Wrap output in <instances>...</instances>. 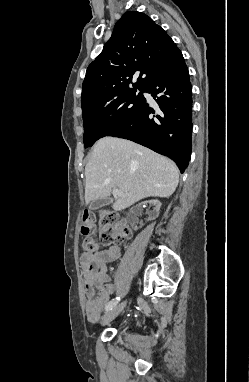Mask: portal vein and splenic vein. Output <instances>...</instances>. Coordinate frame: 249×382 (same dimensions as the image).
Segmentation results:
<instances>
[{
	"label": "portal vein and splenic vein",
	"instance_id": "obj_1",
	"mask_svg": "<svg viewBox=\"0 0 249 382\" xmlns=\"http://www.w3.org/2000/svg\"><path fill=\"white\" fill-rule=\"evenodd\" d=\"M112 194L114 197L123 196V193L119 189H113Z\"/></svg>",
	"mask_w": 249,
	"mask_h": 382
}]
</instances>
